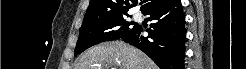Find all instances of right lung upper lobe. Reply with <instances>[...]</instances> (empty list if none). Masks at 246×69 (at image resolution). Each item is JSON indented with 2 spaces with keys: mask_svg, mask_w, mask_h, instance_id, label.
Here are the masks:
<instances>
[{
  "mask_svg": "<svg viewBox=\"0 0 246 69\" xmlns=\"http://www.w3.org/2000/svg\"><path fill=\"white\" fill-rule=\"evenodd\" d=\"M164 0H143L141 11L161 3ZM135 0H90L84 21L100 20L113 15L127 14L129 8L133 7Z\"/></svg>",
  "mask_w": 246,
  "mask_h": 69,
  "instance_id": "obj_1",
  "label": "right lung upper lobe"
}]
</instances>
